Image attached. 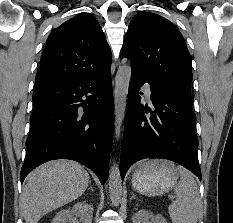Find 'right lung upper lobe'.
<instances>
[{
  "label": "right lung upper lobe",
  "mask_w": 233,
  "mask_h": 223,
  "mask_svg": "<svg viewBox=\"0 0 233 223\" xmlns=\"http://www.w3.org/2000/svg\"><path fill=\"white\" fill-rule=\"evenodd\" d=\"M111 67V51L99 23L76 16L51 32L35 88L97 75Z\"/></svg>",
  "instance_id": "1"
}]
</instances>
